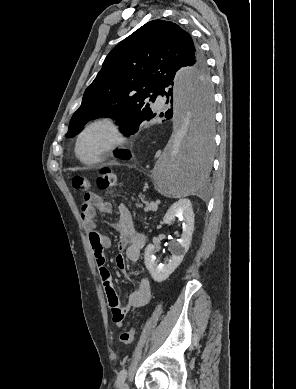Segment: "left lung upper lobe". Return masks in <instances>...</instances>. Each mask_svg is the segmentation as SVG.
Instances as JSON below:
<instances>
[{
	"label": "left lung upper lobe",
	"mask_w": 296,
	"mask_h": 389,
	"mask_svg": "<svg viewBox=\"0 0 296 389\" xmlns=\"http://www.w3.org/2000/svg\"><path fill=\"white\" fill-rule=\"evenodd\" d=\"M183 66L191 67L192 81L198 80L199 89L211 87L205 59L189 33L170 21L146 23L107 55L85 90L66 137H74L89 120L98 117L116 118L121 132L135 134L144 120L155 116L147 103L149 98L154 102L162 84L172 82Z\"/></svg>",
	"instance_id": "1"
}]
</instances>
